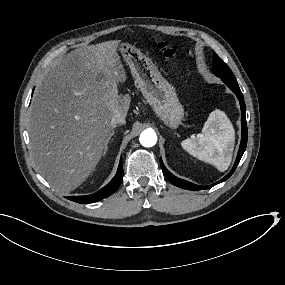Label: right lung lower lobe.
Returning <instances> with one entry per match:
<instances>
[{
    "label": "right lung lower lobe",
    "mask_w": 285,
    "mask_h": 285,
    "mask_svg": "<svg viewBox=\"0 0 285 285\" xmlns=\"http://www.w3.org/2000/svg\"><path fill=\"white\" fill-rule=\"evenodd\" d=\"M122 179H123V163H122V158H121L116 175L105 187H103L98 192L91 194V195L68 196L66 198L71 201L82 203V204L100 201L110 196L111 194H113L120 186Z\"/></svg>",
    "instance_id": "98d812e1"
}]
</instances>
